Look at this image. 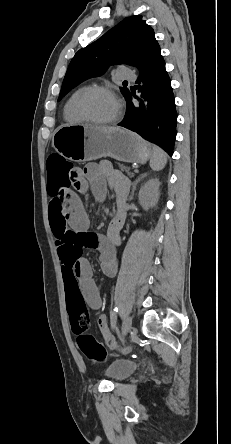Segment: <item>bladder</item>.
I'll list each match as a JSON object with an SVG mask.
<instances>
[{"label": "bladder", "instance_id": "1", "mask_svg": "<svg viewBox=\"0 0 231 444\" xmlns=\"http://www.w3.org/2000/svg\"><path fill=\"white\" fill-rule=\"evenodd\" d=\"M137 369V364L123 359L113 361L106 369L105 374L114 382L122 381Z\"/></svg>", "mask_w": 231, "mask_h": 444}]
</instances>
